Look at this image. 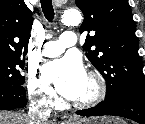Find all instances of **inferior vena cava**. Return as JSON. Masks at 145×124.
<instances>
[{
    "mask_svg": "<svg viewBox=\"0 0 145 124\" xmlns=\"http://www.w3.org/2000/svg\"><path fill=\"white\" fill-rule=\"evenodd\" d=\"M38 109H33L28 113L27 120L29 124H45L49 114L42 108L44 104L37 102Z\"/></svg>",
    "mask_w": 145,
    "mask_h": 124,
    "instance_id": "obj_1",
    "label": "inferior vena cava"
}]
</instances>
